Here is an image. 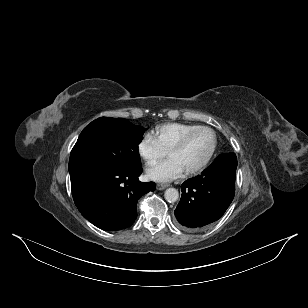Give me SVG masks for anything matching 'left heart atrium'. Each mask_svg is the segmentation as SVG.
<instances>
[{
    "mask_svg": "<svg viewBox=\"0 0 308 308\" xmlns=\"http://www.w3.org/2000/svg\"><path fill=\"white\" fill-rule=\"evenodd\" d=\"M184 169L178 160L169 157L159 164L150 167L147 175L150 179L158 182H168L182 175Z\"/></svg>",
    "mask_w": 308,
    "mask_h": 308,
    "instance_id": "obj_1",
    "label": "left heart atrium"
}]
</instances>
